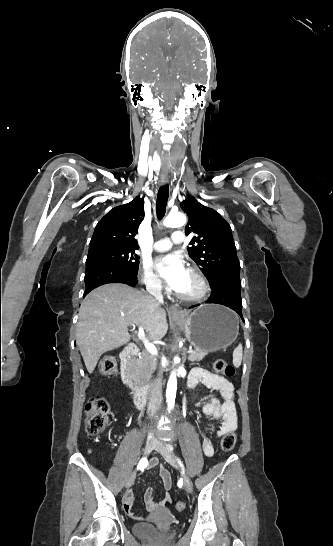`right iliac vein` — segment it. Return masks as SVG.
<instances>
[{
  "label": "right iliac vein",
  "instance_id": "right-iliac-vein-1",
  "mask_svg": "<svg viewBox=\"0 0 333 546\" xmlns=\"http://www.w3.org/2000/svg\"><path fill=\"white\" fill-rule=\"evenodd\" d=\"M155 444H156V440H155V437L154 436H149L147 438V441H146V445H145V449H144V454H149L153 448L155 447ZM136 478V472H133L127 482H126V487L129 488L133 483H134V480Z\"/></svg>",
  "mask_w": 333,
  "mask_h": 546
}]
</instances>
